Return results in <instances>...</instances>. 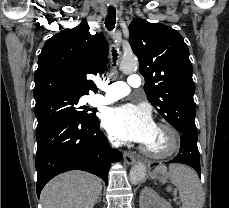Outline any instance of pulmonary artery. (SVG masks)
Listing matches in <instances>:
<instances>
[{
    "instance_id": "obj_1",
    "label": "pulmonary artery",
    "mask_w": 229,
    "mask_h": 208,
    "mask_svg": "<svg viewBox=\"0 0 229 208\" xmlns=\"http://www.w3.org/2000/svg\"><path fill=\"white\" fill-rule=\"evenodd\" d=\"M141 84V76L133 72L128 73L126 81H116L111 85H105L104 83L100 82L98 87L105 91L106 94L93 95L90 98V103L94 105L110 103L128 95L131 91V88H138L141 86Z\"/></svg>"
}]
</instances>
